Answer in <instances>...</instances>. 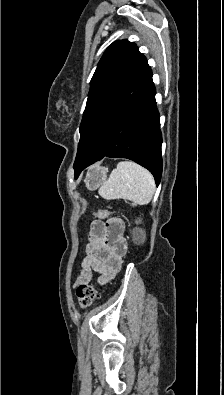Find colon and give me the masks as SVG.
<instances>
[{
  "label": "colon",
  "instance_id": "obj_1",
  "mask_svg": "<svg viewBox=\"0 0 224 395\" xmlns=\"http://www.w3.org/2000/svg\"><path fill=\"white\" fill-rule=\"evenodd\" d=\"M93 214L95 217L103 220H109L114 216V214L110 211L103 209L96 210L93 212ZM113 230L117 231L118 226H114ZM76 296L80 307L88 308L93 305L95 299L98 296V292L94 284L85 282L78 285L76 289Z\"/></svg>",
  "mask_w": 224,
  "mask_h": 395
}]
</instances>
